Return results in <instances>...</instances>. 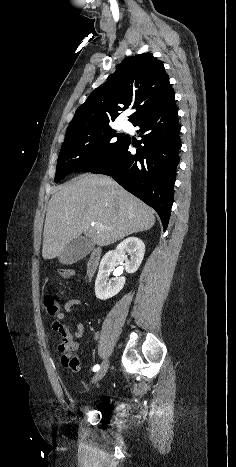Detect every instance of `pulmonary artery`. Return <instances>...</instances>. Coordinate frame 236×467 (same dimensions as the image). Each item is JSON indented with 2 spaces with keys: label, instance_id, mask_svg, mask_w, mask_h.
<instances>
[{
  "label": "pulmonary artery",
  "instance_id": "1",
  "mask_svg": "<svg viewBox=\"0 0 236 467\" xmlns=\"http://www.w3.org/2000/svg\"><path fill=\"white\" fill-rule=\"evenodd\" d=\"M121 125L123 129H127L129 127V122L123 121Z\"/></svg>",
  "mask_w": 236,
  "mask_h": 467
}]
</instances>
